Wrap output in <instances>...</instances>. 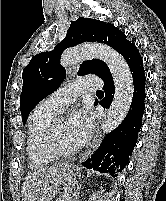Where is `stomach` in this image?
I'll return each mask as SVG.
<instances>
[{
  "instance_id": "stomach-1",
  "label": "stomach",
  "mask_w": 166,
  "mask_h": 201,
  "mask_svg": "<svg viewBox=\"0 0 166 201\" xmlns=\"http://www.w3.org/2000/svg\"><path fill=\"white\" fill-rule=\"evenodd\" d=\"M77 168L73 165H67L59 168L57 172L50 177L40 188L36 201H50L61 186L69 185L76 175Z\"/></svg>"
}]
</instances>
